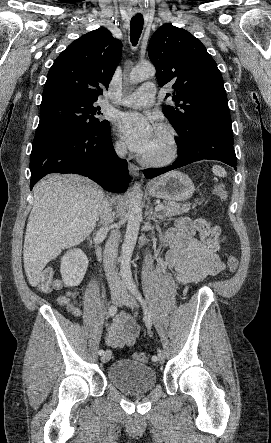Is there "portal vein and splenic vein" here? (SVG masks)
I'll list each match as a JSON object with an SVG mask.
<instances>
[{"instance_id":"18ae733b","label":"portal vein and splenic vein","mask_w":271,"mask_h":443,"mask_svg":"<svg viewBox=\"0 0 271 443\" xmlns=\"http://www.w3.org/2000/svg\"><path fill=\"white\" fill-rule=\"evenodd\" d=\"M155 210H156V212H160V210H164V206H162V204H160V206H156Z\"/></svg>"}]
</instances>
